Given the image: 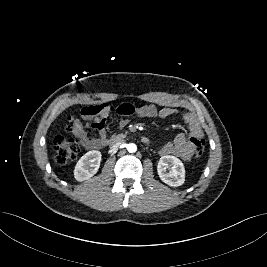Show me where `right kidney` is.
I'll return each instance as SVG.
<instances>
[{"label": "right kidney", "mask_w": 267, "mask_h": 267, "mask_svg": "<svg viewBox=\"0 0 267 267\" xmlns=\"http://www.w3.org/2000/svg\"><path fill=\"white\" fill-rule=\"evenodd\" d=\"M101 156V152L98 150H92L84 154L75 166V179L84 181L94 176L100 167Z\"/></svg>", "instance_id": "ca27d5eb"}]
</instances>
